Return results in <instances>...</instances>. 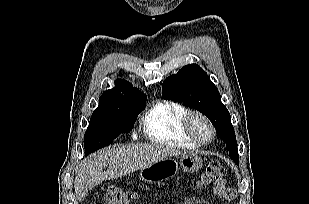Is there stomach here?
Here are the masks:
<instances>
[{
	"instance_id": "stomach-1",
	"label": "stomach",
	"mask_w": 309,
	"mask_h": 204,
	"mask_svg": "<svg viewBox=\"0 0 309 204\" xmlns=\"http://www.w3.org/2000/svg\"><path fill=\"white\" fill-rule=\"evenodd\" d=\"M179 159V162H178ZM202 166V159L193 153H184L180 157H167L141 169L140 178L147 183H157L173 177L182 168L184 172L194 173Z\"/></svg>"
}]
</instances>
